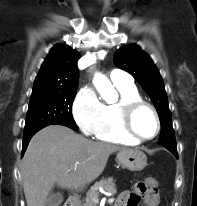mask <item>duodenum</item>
<instances>
[{
  "instance_id": "410a0bca",
  "label": "duodenum",
  "mask_w": 197,
  "mask_h": 206,
  "mask_svg": "<svg viewBox=\"0 0 197 206\" xmlns=\"http://www.w3.org/2000/svg\"><path fill=\"white\" fill-rule=\"evenodd\" d=\"M77 199L75 197H70L66 202L65 206H76Z\"/></svg>"
}]
</instances>
